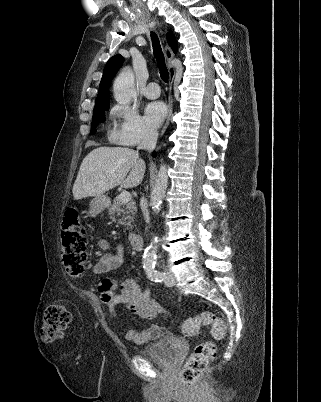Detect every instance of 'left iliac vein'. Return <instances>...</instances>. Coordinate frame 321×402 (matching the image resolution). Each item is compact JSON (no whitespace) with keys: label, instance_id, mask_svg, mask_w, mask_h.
<instances>
[{"label":"left iliac vein","instance_id":"left-iliac-vein-1","mask_svg":"<svg viewBox=\"0 0 321 402\" xmlns=\"http://www.w3.org/2000/svg\"><path fill=\"white\" fill-rule=\"evenodd\" d=\"M165 284L167 285V286H169V287H172L173 285H174V283H175V281H174V275H173V273L171 272V271H166L165 272Z\"/></svg>","mask_w":321,"mask_h":402}]
</instances>
